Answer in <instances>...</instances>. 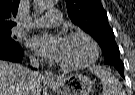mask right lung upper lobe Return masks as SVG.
I'll list each match as a JSON object with an SVG mask.
<instances>
[{"instance_id":"obj_1","label":"right lung upper lobe","mask_w":135,"mask_h":95,"mask_svg":"<svg viewBox=\"0 0 135 95\" xmlns=\"http://www.w3.org/2000/svg\"><path fill=\"white\" fill-rule=\"evenodd\" d=\"M19 0H0V30H11L16 25L12 21L16 17Z\"/></svg>"}]
</instances>
